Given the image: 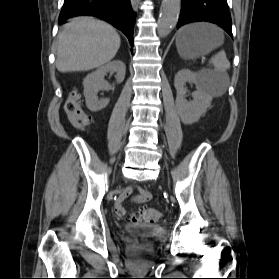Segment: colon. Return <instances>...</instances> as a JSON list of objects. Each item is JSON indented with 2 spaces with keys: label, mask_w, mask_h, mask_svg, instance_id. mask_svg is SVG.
<instances>
[{
  "label": "colon",
  "mask_w": 279,
  "mask_h": 279,
  "mask_svg": "<svg viewBox=\"0 0 279 279\" xmlns=\"http://www.w3.org/2000/svg\"><path fill=\"white\" fill-rule=\"evenodd\" d=\"M65 112L71 125L78 130H84L91 123V118L82 108L81 95L77 90L69 93L65 102ZM160 217L161 212L155 208H141L126 215V219L130 222L145 223H154Z\"/></svg>",
  "instance_id": "obj_1"
}]
</instances>
